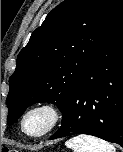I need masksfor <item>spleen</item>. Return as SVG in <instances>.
I'll use <instances>...</instances> for the list:
<instances>
[{
  "instance_id": "1",
  "label": "spleen",
  "mask_w": 123,
  "mask_h": 152,
  "mask_svg": "<svg viewBox=\"0 0 123 152\" xmlns=\"http://www.w3.org/2000/svg\"><path fill=\"white\" fill-rule=\"evenodd\" d=\"M73 152H116L113 145L97 137L80 134L66 142Z\"/></svg>"
}]
</instances>
